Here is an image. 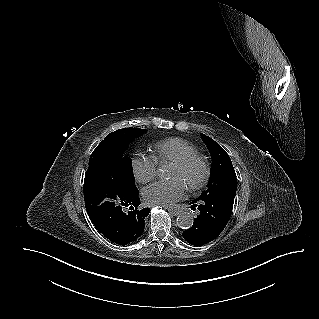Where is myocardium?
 <instances>
[{"label": "myocardium", "instance_id": "f54148a6", "mask_svg": "<svg viewBox=\"0 0 319 319\" xmlns=\"http://www.w3.org/2000/svg\"><path fill=\"white\" fill-rule=\"evenodd\" d=\"M195 162H198L202 165L203 173L197 182L188 185L190 190H197L203 187L208 182L210 173H211V167H210L209 161L204 155L194 153V154L187 155L183 157L182 159L172 163V165L176 166L177 168L185 169Z\"/></svg>", "mask_w": 319, "mask_h": 319}]
</instances>
